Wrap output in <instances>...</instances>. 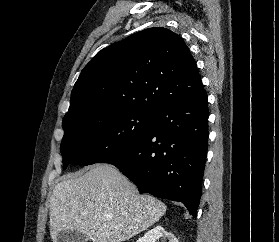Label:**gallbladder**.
<instances>
[{
    "label": "gallbladder",
    "mask_w": 279,
    "mask_h": 242,
    "mask_svg": "<svg viewBox=\"0 0 279 242\" xmlns=\"http://www.w3.org/2000/svg\"><path fill=\"white\" fill-rule=\"evenodd\" d=\"M88 237L74 230H62L57 235V242H87Z\"/></svg>",
    "instance_id": "1"
}]
</instances>
